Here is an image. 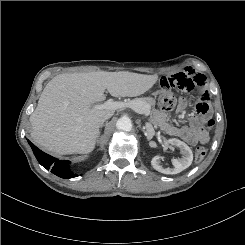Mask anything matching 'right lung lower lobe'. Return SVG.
<instances>
[{
    "mask_svg": "<svg viewBox=\"0 0 245 245\" xmlns=\"http://www.w3.org/2000/svg\"><path fill=\"white\" fill-rule=\"evenodd\" d=\"M29 145L31 146L33 153L35 157L37 158L38 162L45 167L47 170H51V172L61 178L69 179L76 177L77 174H75L70 169V162L59 160L57 158H54L40 149H38L33 143L28 141Z\"/></svg>",
    "mask_w": 245,
    "mask_h": 245,
    "instance_id": "right-lung-lower-lobe-1",
    "label": "right lung lower lobe"
}]
</instances>
